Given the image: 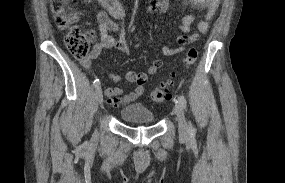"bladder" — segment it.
I'll return each instance as SVG.
<instances>
[{"mask_svg": "<svg viewBox=\"0 0 285 183\" xmlns=\"http://www.w3.org/2000/svg\"><path fill=\"white\" fill-rule=\"evenodd\" d=\"M120 117L129 123L151 124L154 122V113L142 104H129L121 109Z\"/></svg>", "mask_w": 285, "mask_h": 183, "instance_id": "bladder-1", "label": "bladder"}]
</instances>
